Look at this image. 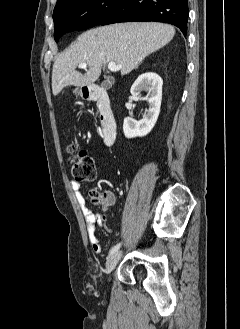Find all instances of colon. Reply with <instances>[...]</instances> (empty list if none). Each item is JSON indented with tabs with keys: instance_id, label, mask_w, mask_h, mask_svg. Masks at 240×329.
<instances>
[{
	"instance_id": "1",
	"label": "colon",
	"mask_w": 240,
	"mask_h": 329,
	"mask_svg": "<svg viewBox=\"0 0 240 329\" xmlns=\"http://www.w3.org/2000/svg\"><path fill=\"white\" fill-rule=\"evenodd\" d=\"M68 152L71 155V173L73 178L79 182L95 180L97 170L94 159L90 153L84 149H79L74 143L69 145ZM91 199L94 203L103 208V217L106 218V210L111 198L105 193L93 191L91 193Z\"/></svg>"
}]
</instances>
